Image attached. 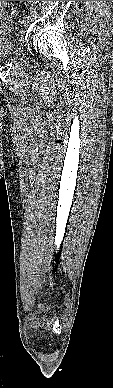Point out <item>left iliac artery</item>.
I'll return each mask as SVG.
<instances>
[{
    "label": "left iliac artery",
    "instance_id": "44dca946",
    "mask_svg": "<svg viewBox=\"0 0 113 388\" xmlns=\"http://www.w3.org/2000/svg\"><path fill=\"white\" fill-rule=\"evenodd\" d=\"M26 18H27L28 20H30V19H31V16L28 14V15H26Z\"/></svg>",
    "mask_w": 113,
    "mask_h": 388
}]
</instances>
